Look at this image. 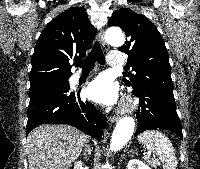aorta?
Returning <instances> with one entry per match:
<instances>
[{"label": "aorta", "instance_id": "obj_1", "mask_svg": "<svg viewBox=\"0 0 200 169\" xmlns=\"http://www.w3.org/2000/svg\"><path fill=\"white\" fill-rule=\"evenodd\" d=\"M108 44L120 47L124 44L125 38L121 30L110 29L105 34ZM135 130V120L132 117H123L117 123L111 139V150L119 151L132 137Z\"/></svg>", "mask_w": 200, "mask_h": 169}]
</instances>
